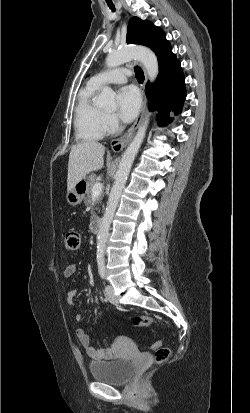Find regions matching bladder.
I'll use <instances>...</instances> for the list:
<instances>
[{
	"label": "bladder",
	"mask_w": 250,
	"mask_h": 413,
	"mask_svg": "<svg viewBox=\"0 0 250 413\" xmlns=\"http://www.w3.org/2000/svg\"><path fill=\"white\" fill-rule=\"evenodd\" d=\"M90 372L96 381L121 385L126 383L133 374L134 364L127 358L97 361L90 364Z\"/></svg>",
	"instance_id": "31cf9c89"
}]
</instances>
